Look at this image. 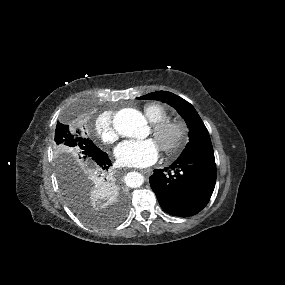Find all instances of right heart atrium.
I'll list each match as a JSON object with an SVG mask.
<instances>
[{"label": "right heart atrium", "mask_w": 285, "mask_h": 285, "mask_svg": "<svg viewBox=\"0 0 285 285\" xmlns=\"http://www.w3.org/2000/svg\"><path fill=\"white\" fill-rule=\"evenodd\" d=\"M95 133L105 145L114 143L118 139V132L114 126V115L112 112L100 114L94 123Z\"/></svg>", "instance_id": "1"}]
</instances>
